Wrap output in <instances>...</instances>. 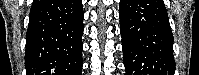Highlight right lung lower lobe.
Segmentation results:
<instances>
[{
  "instance_id": "right-lung-lower-lobe-1",
  "label": "right lung lower lobe",
  "mask_w": 199,
  "mask_h": 75,
  "mask_svg": "<svg viewBox=\"0 0 199 75\" xmlns=\"http://www.w3.org/2000/svg\"><path fill=\"white\" fill-rule=\"evenodd\" d=\"M81 0H34L26 33L27 75H81Z\"/></svg>"
}]
</instances>
